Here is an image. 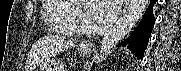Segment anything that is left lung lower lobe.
<instances>
[{"label":"left lung lower lobe","mask_w":181,"mask_h":71,"mask_svg":"<svg viewBox=\"0 0 181 71\" xmlns=\"http://www.w3.org/2000/svg\"><path fill=\"white\" fill-rule=\"evenodd\" d=\"M157 0H151L143 18L131 35L118 46H125L132 51L139 59H143L144 51L154 27L153 6Z\"/></svg>","instance_id":"0a47b994"}]
</instances>
